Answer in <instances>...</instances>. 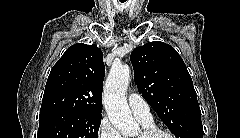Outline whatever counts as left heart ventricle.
Here are the masks:
<instances>
[{"mask_svg": "<svg viewBox=\"0 0 240 138\" xmlns=\"http://www.w3.org/2000/svg\"><path fill=\"white\" fill-rule=\"evenodd\" d=\"M139 137H140V132L137 134L136 138H139ZM154 138H163V137L161 135H157Z\"/></svg>", "mask_w": 240, "mask_h": 138, "instance_id": "left-heart-ventricle-1", "label": "left heart ventricle"}]
</instances>
